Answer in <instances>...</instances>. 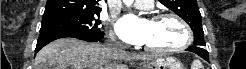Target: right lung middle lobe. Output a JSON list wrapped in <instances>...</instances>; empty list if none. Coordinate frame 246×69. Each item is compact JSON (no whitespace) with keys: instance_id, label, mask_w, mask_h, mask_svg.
<instances>
[{"instance_id":"1","label":"right lung middle lobe","mask_w":246,"mask_h":69,"mask_svg":"<svg viewBox=\"0 0 246 69\" xmlns=\"http://www.w3.org/2000/svg\"><path fill=\"white\" fill-rule=\"evenodd\" d=\"M99 14H59L43 17L40 33L44 32H75L95 35L101 33L98 25Z\"/></svg>"}]
</instances>
